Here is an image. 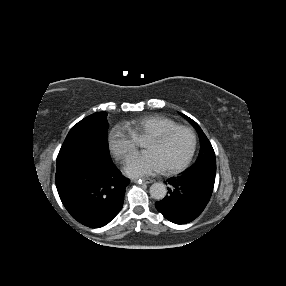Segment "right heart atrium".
Returning <instances> with one entry per match:
<instances>
[{
  "instance_id": "right-heart-atrium-1",
  "label": "right heart atrium",
  "mask_w": 286,
  "mask_h": 286,
  "mask_svg": "<svg viewBox=\"0 0 286 286\" xmlns=\"http://www.w3.org/2000/svg\"><path fill=\"white\" fill-rule=\"evenodd\" d=\"M107 144L111 153L120 161L127 159L137 149V140L120 125L109 131Z\"/></svg>"
}]
</instances>
